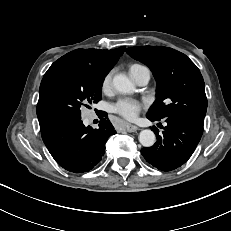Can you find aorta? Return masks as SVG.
I'll list each match as a JSON object with an SVG mask.
<instances>
[{"mask_svg":"<svg viewBox=\"0 0 231 231\" xmlns=\"http://www.w3.org/2000/svg\"><path fill=\"white\" fill-rule=\"evenodd\" d=\"M113 86L114 88L123 94L132 93L134 91V85L130 81V79L123 75V74H117L113 77ZM156 141L155 134L152 130L145 129L142 130L139 134V142L144 147H151L154 145Z\"/></svg>","mask_w":231,"mask_h":231,"instance_id":"aorta-1","label":"aorta"}]
</instances>
